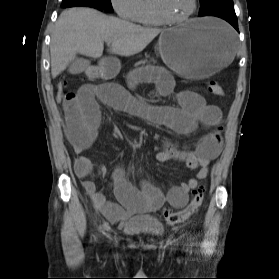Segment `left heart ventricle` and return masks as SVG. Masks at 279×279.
<instances>
[{
    "label": "left heart ventricle",
    "mask_w": 279,
    "mask_h": 279,
    "mask_svg": "<svg viewBox=\"0 0 279 279\" xmlns=\"http://www.w3.org/2000/svg\"><path fill=\"white\" fill-rule=\"evenodd\" d=\"M166 13L173 18L187 14L192 7V0H163Z\"/></svg>",
    "instance_id": "obj_1"
}]
</instances>
